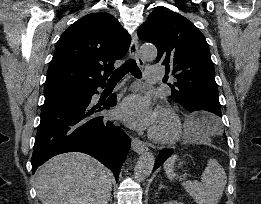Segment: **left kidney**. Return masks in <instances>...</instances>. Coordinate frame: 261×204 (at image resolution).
Masks as SVG:
<instances>
[{"instance_id":"5707ae66","label":"left kidney","mask_w":261,"mask_h":204,"mask_svg":"<svg viewBox=\"0 0 261 204\" xmlns=\"http://www.w3.org/2000/svg\"><path fill=\"white\" fill-rule=\"evenodd\" d=\"M163 204H184V203L178 202V201H167V202H164Z\"/></svg>"}]
</instances>
